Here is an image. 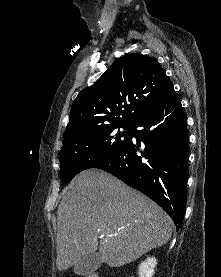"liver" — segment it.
I'll list each match as a JSON object with an SVG mask.
<instances>
[{"label":"liver","mask_w":221,"mask_h":277,"mask_svg":"<svg viewBox=\"0 0 221 277\" xmlns=\"http://www.w3.org/2000/svg\"><path fill=\"white\" fill-rule=\"evenodd\" d=\"M172 227L145 195L102 170L83 171L57 210V268L67 270L97 249L103 263L123 266L165 245Z\"/></svg>","instance_id":"1"}]
</instances>
